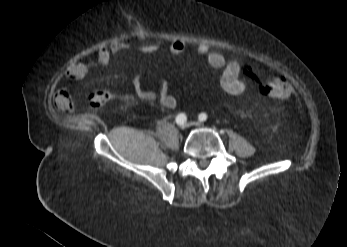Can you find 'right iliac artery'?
Listing matches in <instances>:
<instances>
[{"instance_id":"obj_1","label":"right iliac artery","mask_w":347,"mask_h":247,"mask_svg":"<svg viewBox=\"0 0 347 247\" xmlns=\"http://www.w3.org/2000/svg\"><path fill=\"white\" fill-rule=\"evenodd\" d=\"M187 121V116L184 113H180L176 116V123L178 125H183Z\"/></svg>"}]
</instances>
